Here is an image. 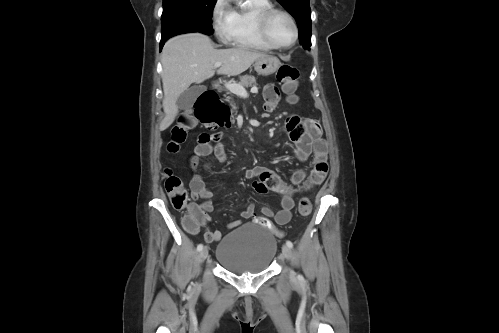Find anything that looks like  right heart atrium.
<instances>
[{
    "label": "right heart atrium",
    "instance_id": "obj_1",
    "mask_svg": "<svg viewBox=\"0 0 499 333\" xmlns=\"http://www.w3.org/2000/svg\"><path fill=\"white\" fill-rule=\"evenodd\" d=\"M211 26L217 38L225 43L230 42L234 24L233 8L228 0H215L211 9Z\"/></svg>",
    "mask_w": 499,
    "mask_h": 333
}]
</instances>
